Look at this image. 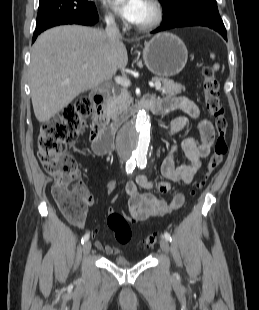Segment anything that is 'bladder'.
I'll return each instance as SVG.
<instances>
[{"label": "bladder", "mask_w": 259, "mask_h": 310, "mask_svg": "<svg viewBox=\"0 0 259 310\" xmlns=\"http://www.w3.org/2000/svg\"><path fill=\"white\" fill-rule=\"evenodd\" d=\"M113 263L120 267H129L130 262L123 256H116L113 258Z\"/></svg>", "instance_id": "obj_1"}]
</instances>
